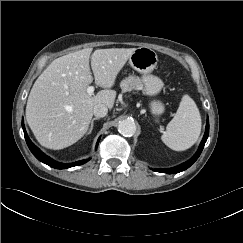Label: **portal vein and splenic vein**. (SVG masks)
I'll return each mask as SVG.
<instances>
[{"label":"portal vein and splenic vein","instance_id":"portal-vein-and-splenic-vein-1","mask_svg":"<svg viewBox=\"0 0 243 243\" xmlns=\"http://www.w3.org/2000/svg\"><path fill=\"white\" fill-rule=\"evenodd\" d=\"M94 90H95L94 86H88V87H87V93H88L89 95H92L93 92H94Z\"/></svg>","mask_w":243,"mask_h":243}]
</instances>
